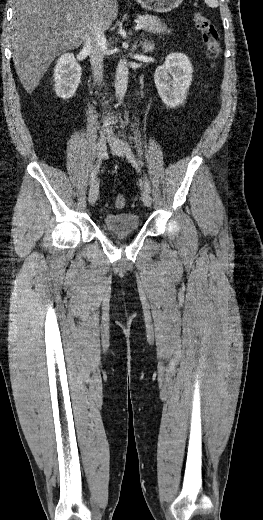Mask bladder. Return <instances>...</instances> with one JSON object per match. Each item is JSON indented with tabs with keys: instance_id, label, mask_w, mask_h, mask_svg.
Masks as SVG:
<instances>
[{
	"instance_id": "bladder-1",
	"label": "bladder",
	"mask_w": 263,
	"mask_h": 520,
	"mask_svg": "<svg viewBox=\"0 0 263 520\" xmlns=\"http://www.w3.org/2000/svg\"><path fill=\"white\" fill-rule=\"evenodd\" d=\"M103 228L111 233H127L140 229V216L136 213L107 214L102 219Z\"/></svg>"
}]
</instances>
